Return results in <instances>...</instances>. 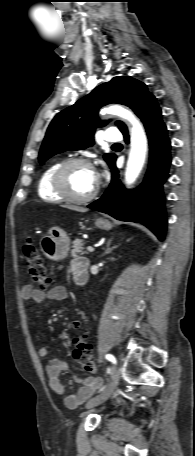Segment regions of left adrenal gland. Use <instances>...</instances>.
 Wrapping results in <instances>:
<instances>
[{"label": "left adrenal gland", "mask_w": 195, "mask_h": 456, "mask_svg": "<svg viewBox=\"0 0 195 456\" xmlns=\"http://www.w3.org/2000/svg\"><path fill=\"white\" fill-rule=\"evenodd\" d=\"M111 242H112V239H109L107 244H106V247L103 248L104 253L102 254V256L111 253V251L117 247V246L110 247Z\"/></svg>", "instance_id": "a2214340"}]
</instances>
